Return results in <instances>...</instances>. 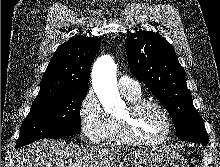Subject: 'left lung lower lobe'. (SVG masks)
Here are the masks:
<instances>
[{"instance_id":"left-lung-lower-lobe-1","label":"left lung lower lobe","mask_w":220,"mask_h":167,"mask_svg":"<svg viewBox=\"0 0 220 167\" xmlns=\"http://www.w3.org/2000/svg\"><path fill=\"white\" fill-rule=\"evenodd\" d=\"M191 142L202 143L203 145H207V143H208V141H203V140L191 141Z\"/></svg>"}]
</instances>
